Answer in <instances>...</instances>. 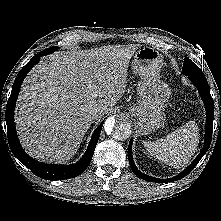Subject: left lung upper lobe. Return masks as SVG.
<instances>
[{
  "label": "left lung upper lobe",
  "instance_id": "obj_1",
  "mask_svg": "<svg viewBox=\"0 0 221 221\" xmlns=\"http://www.w3.org/2000/svg\"><path fill=\"white\" fill-rule=\"evenodd\" d=\"M182 72L185 75H203L202 70L193 63L189 58L185 57Z\"/></svg>",
  "mask_w": 221,
  "mask_h": 221
}]
</instances>
